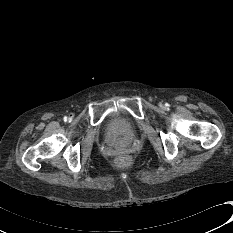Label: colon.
I'll list each match as a JSON object with an SVG mask.
<instances>
[{"label":"colon","mask_w":233,"mask_h":233,"mask_svg":"<svg viewBox=\"0 0 233 233\" xmlns=\"http://www.w3.org/2000/svg\"><path fill=\"white\" fill-rule=\"evenodd\" d=\"M125 160H126V158L123 157V156H121V157L118 158L117 162H118V163H124Z\"/></svg>","instance_id":"5ec220e1"}]
</instances>
